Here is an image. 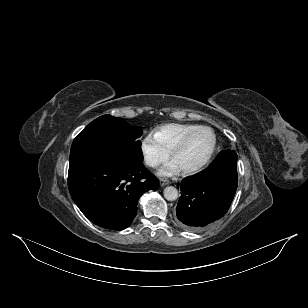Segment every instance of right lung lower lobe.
Returning <instances> with one entry per match:
<instances>
[{"mask_svg":"<svg viewBox=\"0 0 308 308\" xmlns=\"http://www.w3.org/2000/svg\"><path fill=\"white\" fill-rule=\"evenodd\" d=\"M68 187L91 222L120 231L135 218L139 197L159 181L142 163L85 160L69 164Z\"/></svg>","mask_w":308,"mask_h":308,"instance_id":"right-lung-lower-lobe-1","label":"right lung lower lobe"}]
</instances>
